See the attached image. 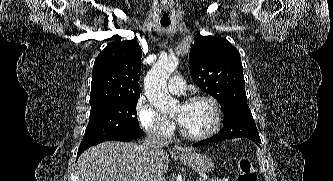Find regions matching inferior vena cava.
Wrapping results in <instances>:
<instances>
[{
    "mask_svg": "<svg viewBox=\"0 0 333 181\" xmlns=\"http://www.w3.org/2000/svg\"><path fill=\"white\" fill-rule=\"evenodd\" d=\"M168 146L167 138L158 130H150L145 138V147L150 157V172L147 181H165L164 174L158 166V160L163 148Z\"/></svg>",
    "mask_w": 333,
    "mask_h": 181,
    "instance_id": "obj_1",
    "label": "inferior vena cava"
}]
</instances>
